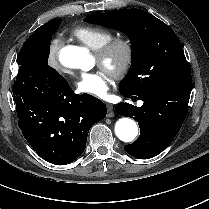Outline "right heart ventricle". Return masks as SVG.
<instances>
[{
    "mask_svg": "<svg viewBox=\"0 0 209 209\" xmlns=\"http://www.w3.org/2000/svg\"><path fill=\"white\" fill-rule=\"evenodd\" d=\"M71 34L92 50H98L112 38V33L104 28L83 25L71 32Z\"/></svg>",
    "mask_w": 209,
    "mask_h": 209,
    "instance_id": "obj_1",
    "label": "right heart ventricle"
}]
</instances>
